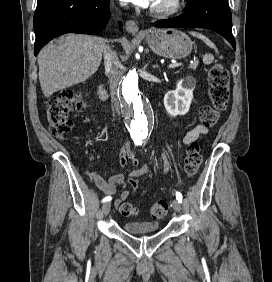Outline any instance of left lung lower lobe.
Returning <instances> with one entry per match:
<instances>
[{
	"label": "left lung lower lobe",
	"mask_w": 272,
	"mask_h": 282,
	"mask_svg": "<svg viewBox=\"0 0 272 282\" xmlns=\"http://www.w3.org/2000/svg\"><path fill=\"white\" fill-rule=\"evenodd\" d=\"M186 10L178 17L155 22L160 28L197 27L216 31L236 49L228 0H186Z\"/></svg>",
	"instance_id": "obj_1"
}]
</instances>
